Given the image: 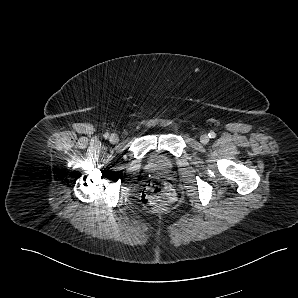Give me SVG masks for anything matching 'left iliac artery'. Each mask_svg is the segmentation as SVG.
<instances>
[{
  "label": "left iliac artery",
  "instance_id": "44dca946",
  "mask_svg": "<svg viewBox=\"0 0 298 298\" xmlns=\"http://www.w3.org/2000/svg\"><path fill=\"white\" fill-rule=\"evenodd\" d=\"M208 136L210 138H215L216 134L213 131H211V132H209Z\"/></svg>",
  "mask_w": 298,
  "mask_h": 298
}]
</instances>
